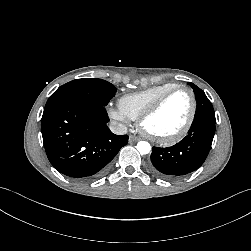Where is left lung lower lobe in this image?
Listing matches in <instances>:
<instances>
[{
  "mask_svg": "<svg viewBox=\"0 0 251 251\" xmlns=\"http://www.w3.org/2000/svg\"><path fill=\"white\" fill-rule=\"evenodd\" d=\"M214 115L194 117L188 134L167 148L153 147L150 168L164 179H177L198 169L205 161L215 134Z\"/></svg>",
  "mask_w": 251,
  "mask_h": 251,
  "instance_id": "1",
  "label": "left lung lower lobe"
}]
</instances>
